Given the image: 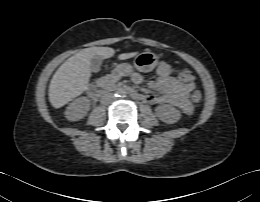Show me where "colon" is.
Masks as SVG:
<instances>
[{
    "label": "colon",
    "mask_w": 260,
    "mask_h": 202,
    "mask_svg": "<svg viewBox=\"0 0 260 202\" xmlns=\"http://www.w3.org/2000/svg\"><path fill=\"white\" fill-rule=\"evenodd\" d=\"M177 77L180 81L185 82V83H190L194 80V74L191 70L187 68H183L178 71ZM191 100L193 103L197 104L202 100V93L200 90H194L191 93Z\"/></svg>",
    "instance_id": "obj_1"
}]
</instances>
